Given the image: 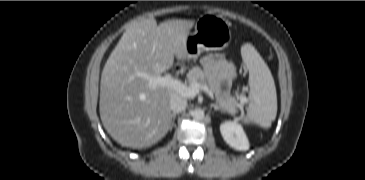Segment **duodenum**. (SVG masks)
I'll use <instances>...</instances> for the list:
<instances>
[{"instance_id": "410a0bca", "label": "duodenum", "mask_w": 365, "mask_h": 180, "mask_svg": "<svg viewBox=\"0 0 365 180\" xmlns=\"http://www.w3.org/2000/svg\"><path fill=\"white\" fill-rule=\"evenodd\" d=\"M174 71H175L177 74H179V75H181V74L183 73V70H182V69H180V68H174Z\"/></svg>"}]
</instances>
